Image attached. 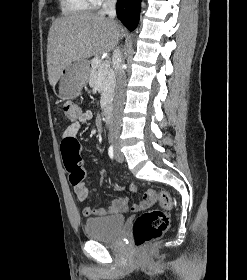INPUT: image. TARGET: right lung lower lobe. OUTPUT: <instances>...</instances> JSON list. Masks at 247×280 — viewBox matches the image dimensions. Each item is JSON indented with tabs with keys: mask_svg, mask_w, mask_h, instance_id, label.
Segmentation results:
<instances>
[{
	"mask_svg": "<svg viewBox=\"0 0 247 280\" xmlns=\"http://www.w3.org/2000/svg\"><path fill=\"white\" fill-rule=\"evenodd\" d=\"M140 9L141 0H118L116 4L117 17L130 31L138 24Z\"/></svg>",
	"mask_w": 247,
	"mask_h": 280,
	"instance_id": "obj_1",
	"label": "right lung lower lobe"
}]
</instances>
